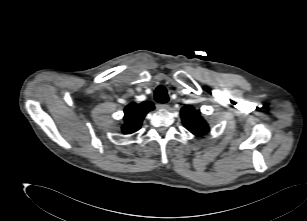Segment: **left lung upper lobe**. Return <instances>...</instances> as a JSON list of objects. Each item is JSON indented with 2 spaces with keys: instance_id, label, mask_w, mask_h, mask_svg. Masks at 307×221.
Segmentation results:
<instances>
[{
  "instance_id": "5c2ea615",
  "label": "left lung upper lobe",
  "mask_w": 307,
  "mask_h": 221,
  "mask_svg": "<svg viewBox=\"0 0 307 221\" xmlns=\"http://www.w3.org/2000/svg\"><path fill=\"white\" fill-rule=\"evenodd\" d=\"M181 118L184 126L196 136H203L209 131V126L200 112L192 106H184L181 109Z\"/></svg>"
}]
</instances>
